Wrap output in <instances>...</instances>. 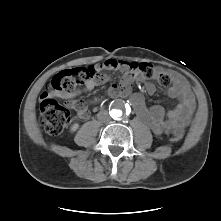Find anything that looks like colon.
<instances>
[{
  "label": "colon",
  "instance_id": "5ec220e1",
  "mask_svg": "<svg viewBox=\"0 0 221 221\" xmlns=\"http://www.w3.org/2000/svg\"><path fill=\"white\" fill-rule=\"evenodd\" d=\"M131 72L155 80L161 86L167 87L176 81V76L167 71L158 70L149 63H131ZM96 77L93 66L65 69L54 74L49 80L46 90L40 96V124L42 129L49 134L60 133L70 122L71 109L58 103L54 96L74 90L77 85L83 84ZM119 90L113 94L118 95ZM181 139L179 131H174L171 140L178 142Z\"/></svg>",
  "mask_w": 221,
  "mask_h": 221
}]
</instances>
